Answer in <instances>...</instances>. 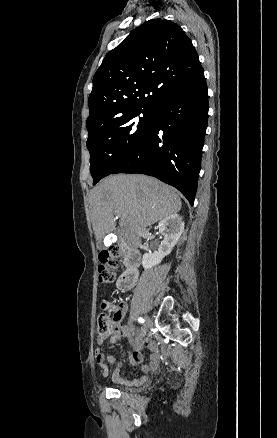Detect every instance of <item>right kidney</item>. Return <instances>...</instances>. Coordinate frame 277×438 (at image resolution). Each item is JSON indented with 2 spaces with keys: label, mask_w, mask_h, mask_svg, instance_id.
I'll return each mask as SVG.
<instances>
[{
  "label": "right kidney",
  "mask_w": 277,
  "mask_h": 438,
  "mask_svg": "<svg viewBox=\"0 0 277 438\" xmlns=\"http://www.w3.org/2000/svg\"><path fill=\"white\" fill-rule=\"evenodd\" d=\"M184 226L183 218L179 214H171V216H166L164 220L158 222L157 228L160 234L164 236L163 242L160 244L158 252L144 254L142 258L144 270H150L153 266H157L165 256L171 254L175 244H177L181 234L184 232Z\"/></svg>",
  "instance_id": "obj_1"
}]
</instances>
